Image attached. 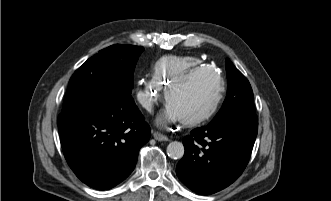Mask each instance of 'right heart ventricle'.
<instances>
[{
	"instance_id": "obj_1",
	"label": "right heart ventricle",
	"mask_w": 331,
	"mask_h": 201,
	"mask_svg": "<svg viewBox=\"0 0 331 201\" xmlns=\"http://www.w3.org/2000/svg\"><path fill=\"white\" fill-rule=\"evenodd\" d=\"M206 66L198 58L192 56H166L153 66L152 79L159 85L169 88L185 73Z\"/></svg>"
}]
</instances>
